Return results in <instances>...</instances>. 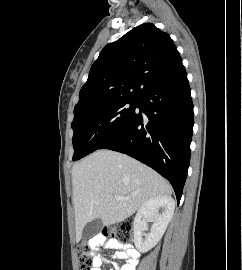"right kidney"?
<instances>
[{
	"label": "right kidney",
	"mask_w": 242,
	"mask_h": 270,
	"mask_svg": "<svg viewBox=\"0 0 242 270\" xmlns=\"http://www.w3.org/2000/svg\"><path fill=\"white\" fill-rule=\"evenodd\" d=\"M162 213H159V209ZM175 209V201L170 196H156L148 199L139 208L133 223L134 243L140 252H147L152 249L162 238ZM146 219L154 223L148 230Z\"/></svg>",
	"instance_id": "obj_1"
}]
</instances>
